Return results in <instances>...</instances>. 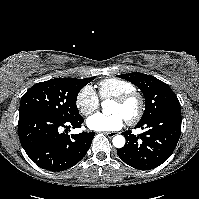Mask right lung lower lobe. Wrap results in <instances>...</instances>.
Wrapping results in <instances>:
<instances>
[{"label": "right lung lower lobe", "instance_id": "98d812e1", "mask_svg": "<svg viewBox=\"0 0 199 199\" xmlns=\"http://www.w3.org/2000/svg\"><path fill=\"white\" fill-rule=\"evenodd\" d=\"M83 117L72 120L28 112L19 115V139L28 157L39 167L63 171L77 164L91 146L94 132L68 134L70 127H81ZM64 130V131H63Z\"/></svg>", "mask_w": 199, "mask_h": 199}]
</instances>
